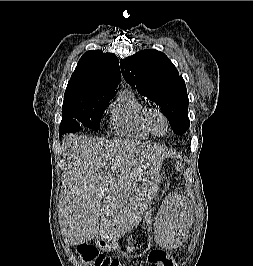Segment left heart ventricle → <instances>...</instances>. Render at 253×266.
Instances as JSON below:
<instances>
[{"mask_svg":"<svg viewBox=\"0 0 253 266\" xmlns=\"http://www.w3.org/2000/svg\"><path fill=\"white\" fill-rule=\"evenodd\" d=\"M153 124H154V127H155V130L159 133V134H162L165 132L166 130V125H165V122L164 120L159 117V116H155L154 119H153Z\"/></svg>","mask_w":253,"mask_h":266,"instance_id":"1","label":"left heart ventricle"}]
</instances>
